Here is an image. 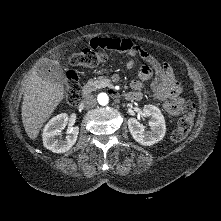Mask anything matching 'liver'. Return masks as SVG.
<instances>
[{"mask_svg": "<svg viewBox=\"0 0 221 221\" xmlns=\"http://www.w3.org/2000/svg\"><path fill=\"white\" fill-rule=\"evenodd\" d=\"M60 56V53L54 57ZM56 66L57 60H51ZM64 98L62 84L44 80L35 66L27 79L22 102V122L28 137L35 140L53 111Z\"/></svg>", "mask_w": 221, "mask_h": 221, "instance_id": "liver-1", "label": "liver"}]
</instances>
